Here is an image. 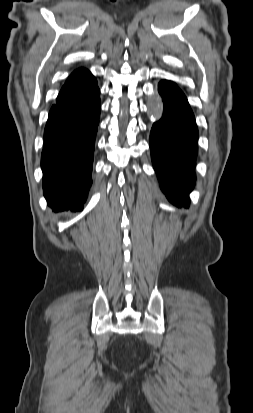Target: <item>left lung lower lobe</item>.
I'll use <instances>...</instances> for the list:
<instances>
[{
	"mask_svg": "<svg viewBox=\"0 0 253 413\" xmlns=\"http://www.w3.org/2000/svg\"><path fill=\"white\" fill-rule=\"evenodd\" d=\"M158 91L163 115L150 133L152 163L168 200L188 206L196 180L198 128L186 96L174 82L161 81Z\"/></svg>",
	"mask_w": 253,
	"mask_h": 413,
	"instance_id": "left-lung-lower-lobe-1",
	"label": "left lung lower lobe"
}]
</instances>
